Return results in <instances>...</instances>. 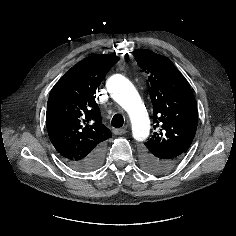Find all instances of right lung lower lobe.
<instances>
[{"label": "right lung lower lobe", "mask_w": 236, "mask_h": 236, "mask_svg": "<svg viewBox=\"0 0 236 236\" xmlns=\"http://www.w3.org/2000/svg\"><path fill=\"white\" fill-rule=\"evenodd\" d=\"M64 161L73 169L78 171H92L97 169L104 160V144L98 146L91 154L83 159H66Z\"/></svg>", "instance_id": "obj_1"}]
</instances>
